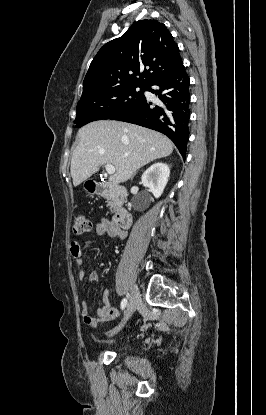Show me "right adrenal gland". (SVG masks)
I'll list each match as a JSON object with an SVG mask.
<instances>
[{"label":"right adrenal gland","mask_w":266,"mask_h":415,"mask_svg":"<svg viewBox=\"0 0 266 415\" xmlns=\"http://www.w3.org/2000/svg\"><path fill=\"white\" fill-rule=\"evenodd\" d=\"M136 174V171L133 173V175H132V177H131V179L133 178V176Z\"/></svg>","instance_id":"obj_1"}]
</instances>
